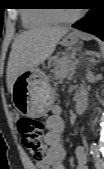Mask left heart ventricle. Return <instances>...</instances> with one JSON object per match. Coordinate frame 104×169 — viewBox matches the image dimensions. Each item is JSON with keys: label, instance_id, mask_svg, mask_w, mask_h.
<instances>
[{"label": "left heart ventricle", "instance_id": "left-heart-ventricle-1", "mask_svg": "<svg viewBox=\"0 0 104 169\" xmlns=\"http://www.w3.org/2000/svg\"><path fill=\"white\" fill-rule=\"evenodd\" d=\"M76 10L73 9H60V13L63 16H71L75 13Z\"/></svg>", "mask_w": 104, "mask_h": 169}]
</instances>
